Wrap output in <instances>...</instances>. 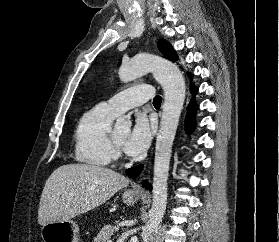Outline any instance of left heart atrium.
<instances>
[{
	"instance_id": "obj_1",
	"label": "left heart atrium",
	"mask_w": 279,
	"mask_h": 242,
	"mask_svg": "<svg viewBox=\"0 0 279 242\" xmlns=\"http://www.w3.org/2000/svg\"><path fill=\"white\" fill-rule=\"evenodd\" d=\"M152 139V126L144 114L137 115L125 142V150L130 155L143 154Z\"/></svg>"
}]
</instances>
